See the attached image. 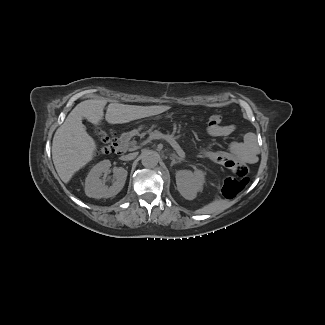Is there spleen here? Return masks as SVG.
Instances as JSON below:
<instances>
[{"mask_svg": "<svg viewBox=\"0 0 325 325\" xmlns=\"http://www.w3.org/2000/svg\"><path fill=\"white\" fill-rule=\"evenodd\" d=\"M227 207V202L220 198H215L209 204L203 206L202 208L195 211L196 214H212L219 213L225 210Z\"/></svg>", "mask_w": 325, "mask_h": 325, "instance_id": "obj_1", "label": "spleen"}]
</instances>
